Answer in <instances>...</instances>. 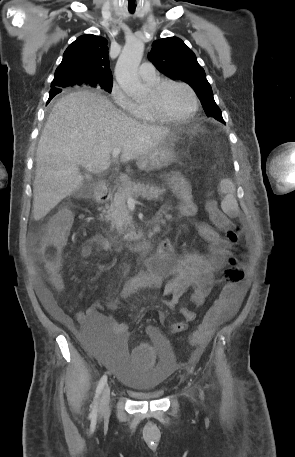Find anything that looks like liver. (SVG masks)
<instances>
[{"mask_svg": "<svg viewBox=\"0 0 295 457\" xmlns=\"http://www.w3.org/2000/svg\"><path fill=\"white\" fill-rule=\"evenodd\" d=\"M171 129L139 123L105 96L78 91L53 107L40 137L33 183V217H45L84 182L79 166L99 174L109 168L111 153L121 148L128 162L150 153Z\"/></svg>", "mask_w": 295, "mask_h": 457, "instance_id": "obj_1", "label": "liver"}]
</instances>
